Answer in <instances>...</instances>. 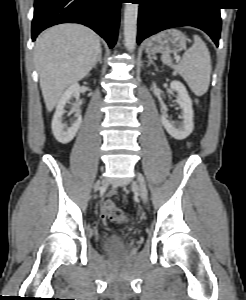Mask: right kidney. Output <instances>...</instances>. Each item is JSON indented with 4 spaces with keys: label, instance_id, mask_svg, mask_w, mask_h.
<instances>
[{
    "label": "right kidney",
    "instance_id": "obj_1",
    "mask_svg": "<svg viewBox=\"0 0 246 300\" xmlns=\"http://www.w3.org/2000/svg\"><path fill=\"white\" fill-rule=\"evenodd\" d=\"M79 95H80V85L77 82H75L72 85H70L68 89L63 93L56 107V111L52 119V132L55 139L62 144L69 143L75 137L82 123L81 115L75 110H72L71 113L75 112V117L77 119L71 125V127L67 128L66 124L62 123V116L65 112L64 107L66 103H68V101L72 97L78 98Z\"/></svg>",
    "mask_w": 246,
    "mask_h": 300
}]
</instances>
